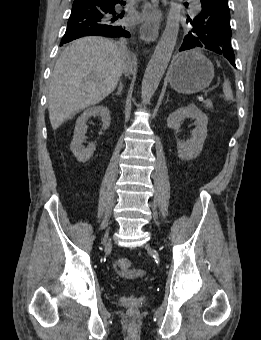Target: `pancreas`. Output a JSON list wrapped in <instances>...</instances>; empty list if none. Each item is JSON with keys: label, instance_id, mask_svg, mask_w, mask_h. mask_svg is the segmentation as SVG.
Wrapping results in <instances>:
<instances>
[{"label": "pancreas", "instance_id": "obj_1", "mask_svg": "<svg viewBox=\"0 0 261 340\" xmlns=\"http://www.w3.org/2000/svg\"><path fill=\"white\" fill-rule=\"evenodd\" d=\"M204 104H205V107H206V108H209V109L212 110V108H213V103H212L211 100H209V99L205 100V101H204Z\"/></svg>", "mask_w": 261, "mask_h": 340}]
</instances>
